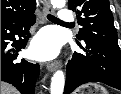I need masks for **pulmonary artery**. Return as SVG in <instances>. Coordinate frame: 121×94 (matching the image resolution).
<instances>
[{
	"instance_id": "e3ab8cb5",
	"label": "pulmonary artery",
	"mask_w": 121,
	"mask_h": 94,
	"mask_svg": "<svg viewBox=\"0 0 121 94\" xmlns=\"http://www.w3.org/2000/svg\"><path fill=\"white\" fill-rule=\"evenodd\" d=\"M60 20L63 22H71L73 20V16L71 12L67 9H62L59 14Z\"/></svg>"
}]
</instances>
